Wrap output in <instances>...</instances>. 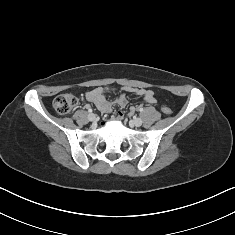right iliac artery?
Instances as JSON below:
<instances>
[{
	"label": "right iliac artery",
	"instance_id": "right-iliac-artery-1",
	"mask_svg": "<svg viewBox=\"0 0 235 235\" xmlns=\"http://www.w3.org/2000/svg\"><path fill=\"white\" fill-rule=\"evenodd\" d=\"M88 112H89V113H92V109H88Z\"/></svg>",
	"mask_w": 235,
	"mask_h": 235
}]
</instances>
